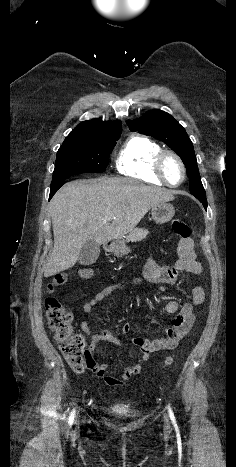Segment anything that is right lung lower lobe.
Instances as JSON below:
<instances>
[{
	"mask_svg": "<svg viewBox=\"0 0 236 467\" xmlns=\"http://www.w3.org/2000/svg\"><path fill=\"white\" fill-rule=\"evenodd\" d=\"M64 183H65V181L60 182V183L55 184V185H51L50 197H49V199H51V197L56 193V191H57Z\"/></svg>",
	"mask_w": 236,
	"mask_h": 467,
	"instance_id": "1",
	"label": "right lung lower lobe"
}]
</instances>
